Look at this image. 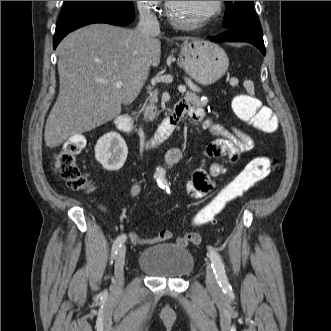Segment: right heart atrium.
I'll return each mask as SVG.
<instances>
[{"mask_svg":"<svg viewBox=\"0 0 331 331\" xmlns=\"http://www.w3.org/2000/svg\"><path fill=\"white\" fill-rule=\"evenodd\" d=\"M137 8L141 13L142 19H153L154 16H159L160 1H136Z\"/></svg>","mask_w":331,"mask_h":331,"instance_id":"obj_1","label":"right heart atrium"}]
</instances>
